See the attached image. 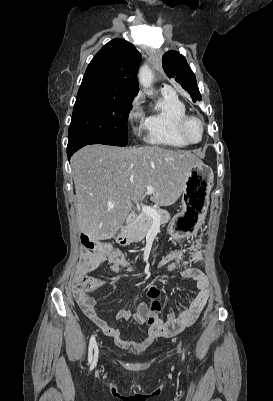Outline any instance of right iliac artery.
<instances>
[{
    "label": "right iliac artery",
    "instance_id": "right-iliac-artery-1",
    "mask_svg": "<svg viewBox=\"0 0 273 401\" xmlns=\"http://www.w3.org/2000/svg\"><path fill=\"white\" fill-rule=\"evenodd\" d=\"M93 348L97 349V343L95 340V336L90 338L89 349H88V363L91 364V369L96 365L97 357L94 354L93 358Z\"/></svg>",
    "mask_w": 273,
    "mask_h": 401
}]
</instances>
